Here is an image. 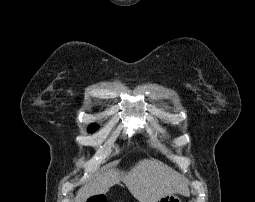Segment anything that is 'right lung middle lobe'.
<instances>
[{
    "instance_id": "dd1d6c3e",
    "label": "right lung middle lobe",
    "mask_w": 255,
    "mask_h": 202,
    "mask_svg": "<svg viewBox=\"0 0 255 202\" xmlns=\"http://www.w3.org/2000/svg\"><path fill=\"white\" fill-rule=\"evenodd\" d=\"M97 128H98V125H96V124H92L90 127H89V132H94V131H96L97 130Z\"/></svg>"
}]
</instances>
